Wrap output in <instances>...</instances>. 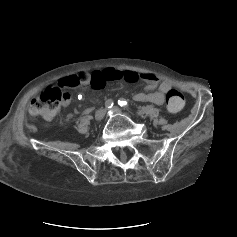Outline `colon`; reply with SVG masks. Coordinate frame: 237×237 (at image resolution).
Segmentation results:
<instances>
[{"instance_id":"1","label":"colon","mask_w":237,"mask_h":237,"mask_svg":"<svg viewBox=\"0 0 237 237\" xmlns=\"http://www.w3.org/2000/svg\"><path fill=\"white\" fill-rule=\"evenodd\" d=\"M94 81L98 82V79L94 78ZM86 85V75L65 79L58 85L47 88L39 97L32 100L29 112L34 117L51 119L59 111L61 105L69 99V89ZM166 104L170 112L177 113L184 106V97L179 91L170 89L166 96Z\"/></svg>"}]
</instances>
